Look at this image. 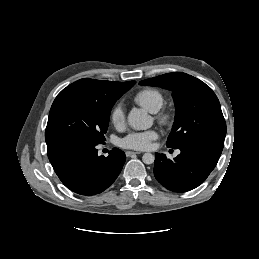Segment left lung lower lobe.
Here are the masks:
<instances>
[{"mask_svg": "<svg viewBox=\"0 0 259 259\" xmlns=\"http://www.w3.org/2000/svg\"><path fill=\"white\" fill-rule=\"evenodd\" d=\"M223 146L222 139L204 137L184 143L174 160L156 153L155 178L174 192L192 190L202 184L215 168Z\"/></svg>", "mask_w": 259, "mask_h": 259, "instance_id": "obj_1", "label": "left lung lower lobe"}]
</instances>
